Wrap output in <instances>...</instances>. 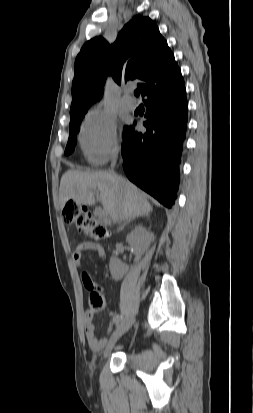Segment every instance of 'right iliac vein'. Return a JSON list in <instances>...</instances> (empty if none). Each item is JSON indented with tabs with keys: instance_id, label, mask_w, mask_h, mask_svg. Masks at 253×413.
<instances>
[{
	"instance_id": "1",
	"label": "right iliac vein",
	"mask_w": 253,
	"mask_h": 413,
	"mask_svg": "<svg viewBox=\"0 0 253 413\" xmlns=\"http://www.w3.org/2000/svg\"><path fill=\"white\" fill-rule=\"evenodd\" d=\"M133 323H134L133 319H127V320L122 321L121 324L116 328L104 352L105 357H107L110 354L117 340L131 328Z\"/></svg>"
}]
</instances>
